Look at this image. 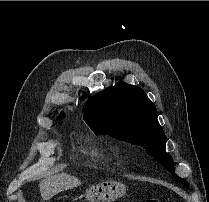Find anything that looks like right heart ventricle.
<instances>
[{"instance_id":"right-heart-ventricle-1","label":"right heart ventricle","mask_w":209,"mask_h":202,"mask_svg":"<svg viewBox=\"0 0 209 202\" xmlns=\"http://www.w3.org/2000/svg\"><path fill=\"white\" fill-rule=\"evenodd\" d=\"M93 152L96 154V155H99L100 154V151L98 149H94Z\"/></svg>"}]
</instances>
